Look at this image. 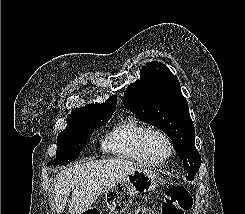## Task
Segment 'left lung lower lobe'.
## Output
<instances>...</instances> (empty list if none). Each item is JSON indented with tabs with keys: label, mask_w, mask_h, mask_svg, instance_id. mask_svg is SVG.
Here are the masks:
<instances>
[{
	"label": "left lung lower lobe",
	"mask_w": 245,
	"mask_h": 214,
	"mask_svg": "<svg viewBox=\"0 0 245 214\" xmlns=\"http://www.w3.org/2000/svg\"><path fill=\"white\" fill-rule=\"evenodd\" d=\"M187 179L188 180H192L193 179V176H188Z\"/></svg>",
	"instance_id": "left-lung-lower-lobe-1"
}]
</instances>
